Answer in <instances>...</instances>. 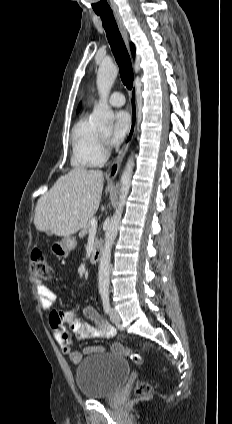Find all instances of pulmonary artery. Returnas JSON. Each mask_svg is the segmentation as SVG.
I'll return each mask as SVG.
<instances>
[{
  "label": "pulmonary artery",
  "instance_id": "obj_1",
  "mask_svg": "<svg viewBox=\"0 0 232 424\" xmlns=\"http://www.w3.org/2000/svg\"><path fill=\"white\" fill-rule=\"evenodd\" d=\"M109 103L115 107H121L125 104V96L120 92H114L109 98Z\"/></svg>",
  "mask_w": 232,
  "mask_h": 424
}]
</instances>
